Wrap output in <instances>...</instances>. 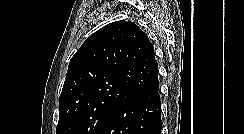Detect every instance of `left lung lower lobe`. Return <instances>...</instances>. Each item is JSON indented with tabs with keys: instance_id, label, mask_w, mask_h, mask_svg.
Masks as SVG:
<instances>
[{
	"instance_id": "1",
	"label": "left lung lower lobe",
	"mask_w": 244,
	"mask_h": 134,
	"mask_svg": "<svg viewBox=\"0 0 244 134\" xmlns=\"http://www.w3.org/2000/svg\"><path fill=\"white\" fill-rule=\"evenodd\" d=\"M159 87L134 95L112 113L100 134H161Z\"/></svg>"
}]
</instances>
